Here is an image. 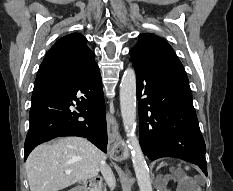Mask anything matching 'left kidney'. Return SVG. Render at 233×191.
<instances>
[{
  "label": "left kidney",
  "instance_id": "left-kidney-1",
  "mask_svg": "<svg viewBox=\"0 0 233 191\" xmlns=\"http://www.w3.org/2000/svg\"><path fill=\"white\" fill-rule=\"evenodd\" d=\"M169 178H173L172 176H167L166 177V180H168ZM178 182H179V184H181L182 183V180H178Z\"/></svg>",
  "mask_w": 233,
  "mask_h": 191
}]
</instances>
